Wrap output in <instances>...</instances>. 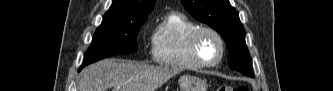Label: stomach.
<instances>
[{"label":"stomach","mask_w":333,"mask_h":91,"mask_svg":"<svg viewBox=\"0 0 333 91\" xmlns=\"http://www.w3.org/2000/svg\"><path fill=\"white\" fill-rule=\"evenodd\" d=\"M181 91H206V81L191 75L181 76L178 80Z\"/></svg>","instance_id":"stomach-1"}]
</instances>
